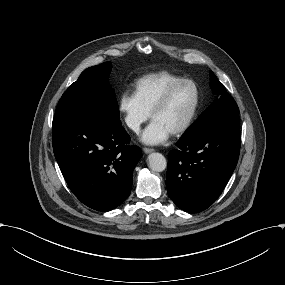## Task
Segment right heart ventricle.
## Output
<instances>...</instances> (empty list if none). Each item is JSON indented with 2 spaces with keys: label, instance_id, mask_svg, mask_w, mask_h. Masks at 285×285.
Listing matches in <instances>:
<instances>
[{
  "label": "right heart ventricle",
  "instance_id": "1",
  "mask_svg": "<svg viewBox=\"0 0 285 285\" xmlns=\"http://www.w3.org/2000/svg\"><path fill=\"white\" fill-rule=\"evenodd\" d=\"M181 76L169 71H158L147 74L140 78L135 84V92L148 111H152L164 91Z\"/></svg>",
  "mask_w": 285,
  "mask_h": 285
}]
</instances>
